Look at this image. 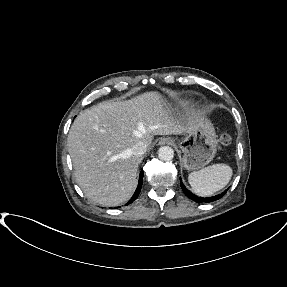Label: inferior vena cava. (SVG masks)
Masks as SVG:
<instances>
[{"mask_svg": "<svg viewBox=\"0 0 287 287\" xmlns=\"http://www.w3.org/2000/svg\"><path fill=\"white\" fill-rule=\"evenodd\" d=\"M147 150V145L143 141H139L132 148V153L136 157H141Z\"/></svg>", "mask_w": 287, "mask_h": 287, "instance_id": "obj_1", "label": "inferior vena cava"}]
</instances>
